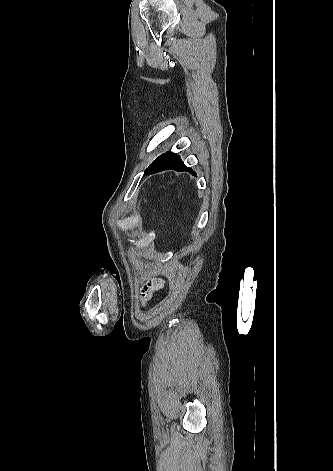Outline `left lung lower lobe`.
<instances>
[{"label": "left lung lower lobe", "instance_id": "obj_1", "mask_svg": "<svg viewBox=\"0 0 333 471\" xmlns=\"http://www.w3.org/2000/svg\"><path fill=\"white\" fill-rule=\"evenodd\" d=\"M168 168L171 169V170H175V171H178V172H182V171H187L189 173H191L192 175H195L196 176V173L189 167H186L183 163V161L180 159V156H174L169 164H168ZM168 169V170H169Z\"/></svg>", "mask_w": 333, "mask_h": 471}]
</instances>
